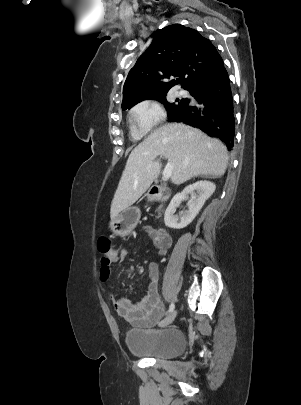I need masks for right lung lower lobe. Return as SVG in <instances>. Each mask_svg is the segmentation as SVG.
<instances>
[{
  "mask_svg": "<svg viewBox=\"0 0 301 405\" xmlns=\"http://www.w3.org/2000/svg\"><path fill=\"white\" fill-rule=\"evenodd\" d=\"M190 93L199 105L186 104L178 108L169 114V121L184 122L197 127L232 148L235 139V117L226 69L215 80L193 89Z\"/></svg>",
  "mask_w": 301,
  "mask_h": 405,
  "instance_id": "right-lung-lower-lobe-1",
  "label": "right lung lower lobe"
}]
</instances>
